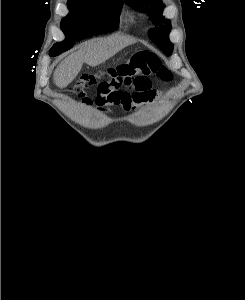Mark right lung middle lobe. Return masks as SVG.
<instances>
[{"instance_id":"dd1d6c3e","label":"right lung middle lobe","mask_w":245,"mask_h":300,"mask_svg":"<svg viewBox=\"0 0 245 300\" xmlns=\"http://www.w3.org/2000/svg\"><path fill=\"white\" fill-rule=\"evenodd\" d=\"M69 14L61 21V29L64 34L70 36V40L56 43L50 49V55L57 56L69 50L74 41L85 39V32L78 26V22L86 19L96 20L102 26L103 33L118 29L119 18L123 2L119 0H69L67 3Z\"/></svg>"}]
</instances>
